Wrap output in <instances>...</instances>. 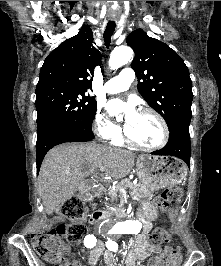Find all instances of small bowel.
<instances>
[{
    "label": "small bowel",
    "instance_id": "small-bowel-1",
    "mask_svg": "<svg viewBox=\"0 0 221 266\" xmlns=\"http://www.w3.org/2000/svg\"><path fill=\"white\" fill-rule=\"evenodd\" d=\"M149 227H147L148 229ZM147 231V230H146ZM170 246H150L147 242L146 232L136 235L135 240L129 245L125 266H136V260L147 258L151 252L154 255L149 259L148 266H169ZM103 255L106 266H119L114 253L105 251L101 247H97L89 253V260L95 264L98 258ZM72 266H82L78 261H74Z\"/></svg>",
    "mask_w": 221,
    "mask_h": 266
}]
</instances>
